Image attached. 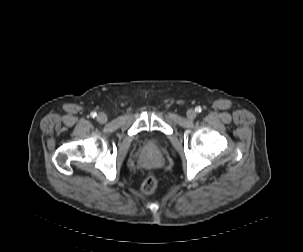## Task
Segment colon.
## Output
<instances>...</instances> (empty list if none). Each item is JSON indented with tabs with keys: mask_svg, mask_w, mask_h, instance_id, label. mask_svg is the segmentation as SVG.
Returning a JSON list of instances; mask_svg holds the SVG:
<instances>
[{
	"mask_svg": "<svg viewBox=\"0 0 303 252\" xmlns=\"http://www.w3.org/2000/svg\"><path fill=\"white\" fill-rule=\"evenodd\" d=\"M158 186V178L154 174L148 175L141 184V191L144 194L153 193Z\"/></svg>",
	"mask_w": 303,
	"mask_h": 252,
	"instance_id": "5ec220e1",
	"label": "colon"
}]
</instances>
